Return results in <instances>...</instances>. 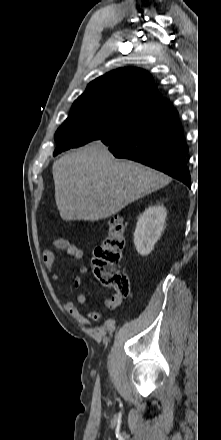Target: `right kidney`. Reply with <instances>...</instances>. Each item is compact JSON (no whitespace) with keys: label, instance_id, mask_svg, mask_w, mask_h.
<instances>
[{"label":"right kidney","instance_id":"right-kidney-1","mask_svg":"<svg viewBox=\"0 0 221 440\" xmlns=\"http://www.w3.org/2000/svg\"><path fill=\"white\" fill-rule=\"evenodd\" d=\"M166 216V208L158 205L149 207L139 217L134 233V245L140 255L146 256L153 250L164 229Z\"/></svg>","mask_w":221,"mask_h":440}]
</instances>
